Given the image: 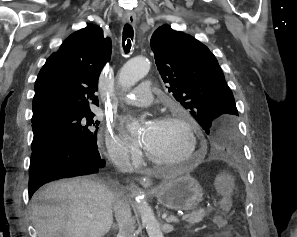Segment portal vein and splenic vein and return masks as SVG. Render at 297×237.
Returning a JSON list of instances; mask_svg holds the SVG:
<instances>
[{
	"label": "portal vein and splenic vein",
	"mask_w": 297,
	"mask_h": 237,
	"mask_svg": "<svg viewBox=\"0 0 297 237\" xmlns=\"http://www.w3.org/2000/svg\"><path fill=\"white\" fill-rule=\"evenodd\" d=\"M187 218V215L182 216V220H185Z\"/></svg>",
	"instance_id": "1"
}]
</instances>
